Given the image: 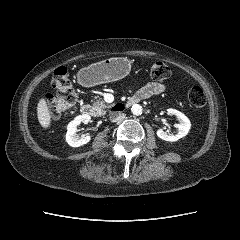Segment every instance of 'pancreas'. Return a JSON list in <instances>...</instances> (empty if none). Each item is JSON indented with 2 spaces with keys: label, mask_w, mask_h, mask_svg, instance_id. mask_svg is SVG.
<instances>
[{
  "label": "pancreas",
  "mask_w": 240,
  "mask_h": 240,
  "mask_svg": "<svg viewBox=\"0 0 240 240\" xmlns=\"http://www.w3.org/2000/svg\"><path fill=\"white\" fill-rule=\"evenodd\" d=\"M93 107L97 109L101 114H105V109L111 108L112 105L106 104L104 101L97 99L93 101Z\"/></svg>",
  "instance_id": "obj_1"
}]
</instances>
